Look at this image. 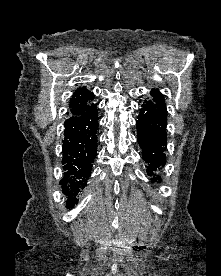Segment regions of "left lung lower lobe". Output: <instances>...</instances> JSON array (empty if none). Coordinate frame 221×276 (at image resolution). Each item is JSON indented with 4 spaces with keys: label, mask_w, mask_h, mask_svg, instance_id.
I'll return each instance as SVG.
<instances>
[{
    "label": "left lung lower lobe",
    "mask_w": 221,
    "mask_h": 276,
    "mask_svg": "<svg viewBox=\"0 0 221 276\" xmlns=\"http://www.w3.org/2000/svg\"><path fill=\"white\" fill-rule=\"evenodd\" d=\"M138 143L142 149V156L147 163V172L153 176L152 182L161 180L154 172L166 164L165 150L167 143V110L153 100H145L136 121Z\"/></svg>",
    "instance_id": "0a47b994"
}]
</instances>
